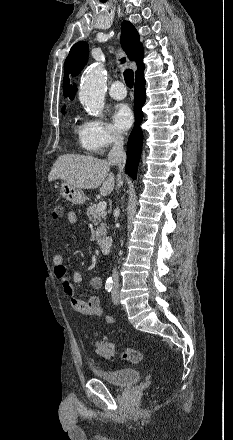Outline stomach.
Here are the masks:
<instances>
[{"instance_id": "0dacf381", "label": "stomach", "mask_w": 233, "mask_h": 440, "mask_svg": "<svg viewBox=\"0 0 233 440\" xmlns=\"http://www.w3.org/2000/svg\"><path fill=\"white\" fill-rule=\"evenodd\" d=\"M60 194L65 200L75 205H82L86 201V196L81 189L73 187L66 182L61 184Z\"/></svg>"}]
</instances>
